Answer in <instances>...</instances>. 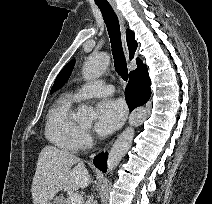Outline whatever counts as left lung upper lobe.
Returning a JSON list of instances; mask_svg holds the SVG:
<instances>
[{
  "instance_id": "5c2ea615",
  "label": "left lung upper lobe",
  "mask_w": 212,
  "mask_h": 204,
  "mask_svg": "<svg viewBox=\"0 0 212 204\" xmlns=\"http://www.w3.org/2000/svg\"><path fill=\"white\" fill-rule=\"evenodd\" d=\"M74 63L75 60L73 59L61 70L54 82V86L51 89V93L61 88L67 82L74 67Z\"/></svg>"
}]
</instances>
